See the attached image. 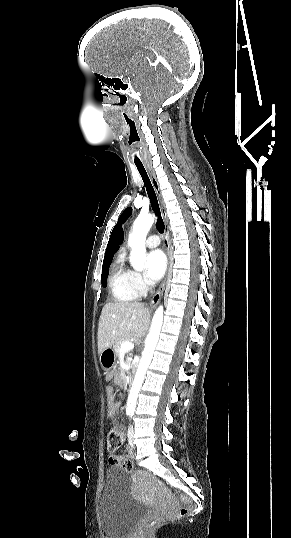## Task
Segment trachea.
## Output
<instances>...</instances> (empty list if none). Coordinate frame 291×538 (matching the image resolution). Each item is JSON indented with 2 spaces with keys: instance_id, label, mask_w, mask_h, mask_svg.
<instances>
[{
  "instance_id": "3493384b",
  "label": "trachea",
  "mask_w": 291,
  "mask_h": 538,
  "mask_svg": "<svg viewBox=\"0 0 291 538\" xmlns=\"http://www.w3.org/2000/svg\"><path fill=\"white\" fill-rule=\"evenodd\" d=\"M135 165H136L137 170L140 173V175L142 177V180L144 182V186L146 188L148 197L150 199L152 209H153L154 213L157 216L156 228L159 231V233H163L164 229H165V226H164V222H163L162 217H161L160 207H159V204H158V200H157V196H156V193L154 191V188H153V186L151 184V181H150V179H149V177H148V175L146 173V170H145L144 166L142 164H135Z\"/></svg>"
}]
</instances>
